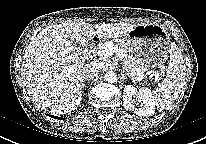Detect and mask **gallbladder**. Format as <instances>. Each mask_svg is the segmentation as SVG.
Masks as SVG:
<instances>
[{"mask_svg":"<svg viewBox=\"0 0 206 144\" xmlns=\"http://www.w3.org/2000/svg\"><path fill=\"white\" fill-rule=\"evenodd\" d=\"M68 41H70L71 43H73V39L71 36L68 37Z\"/></svg>","mask_w":206,"mask_h":144,"instance_id":"gallbladder-1","label":"gallbladder"}]
</instances>
